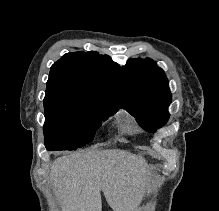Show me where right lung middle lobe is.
Here are the masks:
<instances>
[{
	"label": "right lung middle lobe",
	"instance_id": "obj_1",
	"mask_svg": "<svg viewBox=\"0 0 219 211\" xmlns=\"http://www.w3.org/2000/svg\"><path fill=\"white\" fill-rule=\"evenodd\" d=\"M122 107L60 97L44 98L46 148L75 150L88 144L102 123Z\"/></svg>",
	"mask_w": 219,
	"mask_h": 211
}]
</instances>
